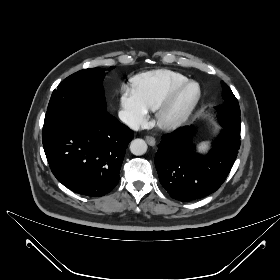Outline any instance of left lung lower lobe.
Listing matches in <instances>:
<instances>
[{
    "label": "left lung lower lobe",
    "instance_id": "1",
    "mask_svg": "<svg viewBox=\"0 0 280 280\" xmlns=\"http://www.w3.org/2000/svg\"><path fill=\"white\" fill-rule=\"evenodd\" d=\"M191 135L190 127L163 135L155 155L161 185L182 202L215 192L227 178L240 148V137L224 128L212 150L200 156L190 144Z\"/></svg>",
    "mask_w": 280,
    "mask_h": 280
}]
</instances>
